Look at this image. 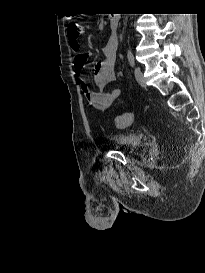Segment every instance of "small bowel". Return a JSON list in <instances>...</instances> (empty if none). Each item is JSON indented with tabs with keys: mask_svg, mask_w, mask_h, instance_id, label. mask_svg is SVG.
Returning <instances> with one entry per match:
<instances>
[{
	"mask_svg": "<svg viewBox=\"0 0 205 273\" xmlns=\"http://www.w3.org/2000/svg\"><path fill=\"white\" fill-rule=\"evenodd\" d=\"M69 37L70 48L76 54L74 61V73L80 77V87L87 99L88 104L96 110L108 109L120 94V88H113L105 91L107 85L115 80V63L116 52L118 47L117 39L114 37L108 39L102 48L103 59L93 64L92 82L96 85L97 90L93 91L88 86V81L83 77L84 67L90 56V53L81 51L79 36L72 35Z\"/></svg>",
	"mask_w": 205,
	"mask_h": 273,
	"instance_id": "obj_1",
	"label": "small bowel"
}]
</instances>
